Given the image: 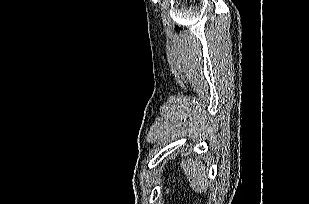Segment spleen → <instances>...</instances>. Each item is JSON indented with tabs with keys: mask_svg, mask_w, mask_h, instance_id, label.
I'll return each instance as SVG.
<instances>
[{
	"mask_svg": "<svg viewBox=\"0 0 309 204\" xmlns=\"http://www.w3.org/2000/svg\"><path fill=\"white\" fill-rule=\"evenodd\" d=\"M180 165L190 182V187L194 191H207L209 182L207 179V170L202 161L197 158H190L186 161H182Z\"/></svg>",
	"mask_w": 309,
	"mask_h": 204,
	"instance_id": "obj_1",
	"label": "spleen"
}]
</instances>
